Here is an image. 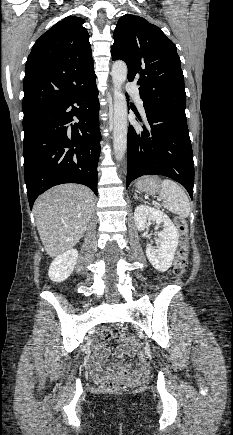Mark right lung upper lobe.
Masks as SVG:
<instances>
[{"label":"right lung upper lobe","mask_w":233,"mask_h":435,"mask_svg":"<svg viewBox=\"0 0 233 435\" xmlns=\"http://www.w3.org/2000/svg\"><path fill=\"white\" fill-rule=\"evenodd\" d=\"M83 23L79 17H67L34 44L25 67L24 117L58 103L95 75Z\"/></svg>","instance_id":"obj_1"}]
</instances>
